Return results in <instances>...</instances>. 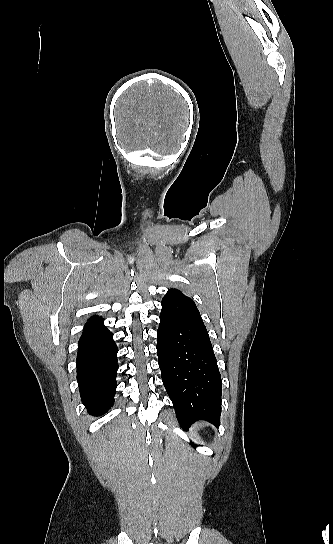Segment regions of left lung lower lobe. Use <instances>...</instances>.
I'll return each instance as SVG.
<instances>
[{
    "label": "left lung lower lobe",
    "instance_id": "0a47b994",
    "mask_svg": "<svg viewBox=\"0 0 333 544\" xmlns=\"http://www.w3.org/2000/svg\"><path fill=\"white\" fill-rule=\"evenodd\" d=\"M157 330L158 364L182 428L198 420L220 424L222 382L213 347L195 302L163 297Z\"/></svg>",
    "mask_w": 333,
    "mask_h": 544
}]
</instances>
